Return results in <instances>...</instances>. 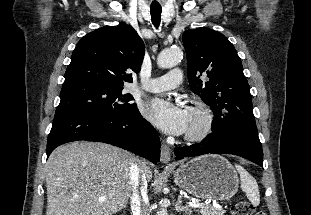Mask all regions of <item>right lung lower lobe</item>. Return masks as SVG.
I'll return each instance as SVG.
<instances>
[{
	"label": "right lung lower lobe",
	"instance_id": "obj_1",
	"mask_svg": "<svg viewBox=\"0 0 311 215\" xmlns=\"http://www.w3.org/2000/svg\"><path fill=\"white\" fill-rule=\"evenodd\" d=\"M86 140L118 146L153 163L160 160V140L138 112L122 116L66 113L54 117L47 140V157L67 142Z\"/></svg>",
	"mask_w": 311,
	"mask_h": 215
}]
</instances>
